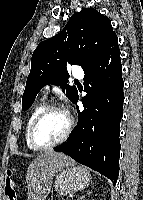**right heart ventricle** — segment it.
I'll use <instances>...</instances> for the list:
<instances>
[{
    "instance_id": "right-heart-ventricle-1",
    "label": "right heart ventricle",
    "mask_w": 143,
    "mask_h": 200,
    "mask_svg": "<svg viewBox=\"0 0 143 200\" xmlns=\"http://www.w3.org/2000/svg\"><path fill=\"white\" fill-rule=\"evenodd\" d=\"M45 99L41 98L33 107V109L31 110L26 125H25V140H26V144L27 146L32 149V150H37L36 148H34L29 140V129L30 126L33 122V120L36 118V116L43 110V108L45 107Z\"/></svg>"
}]
</instances>
